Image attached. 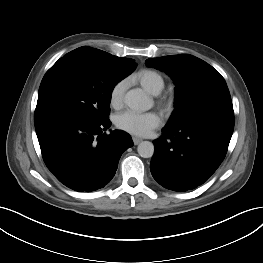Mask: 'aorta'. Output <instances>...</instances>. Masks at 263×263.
I'll return each mask as SVG.
<instances>
[{"label": "aorta", "mask_w": 263, "mask_h": 263, "mask_svg": "<svg viewBox=\"0 0 263 263\" xmlns=\"http://www.w3.org/2000/svg\"><path fill=\"white\" fill-rule=\"evenodd\" d=\"M125 104L135 111H146L151 107L147 95L138 89L129 90L124 98ZM138 154L143 158H151L154 154V145L149 141H142L137 147Z\"/></svg>", "instance_id": "obj_1"}]
</instances>
